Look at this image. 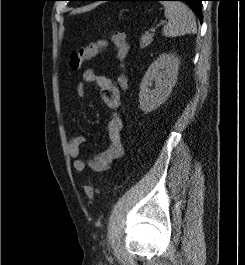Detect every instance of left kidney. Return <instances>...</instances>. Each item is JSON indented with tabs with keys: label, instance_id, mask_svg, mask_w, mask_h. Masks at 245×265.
Masks as SVG:
<instances>
[{
	"label": "left kidney",
	"instance_id": "1",
	"mask_svg": "<svg viewBox=\"0 0 245 265\" xmlns=\"http://www.w3.org/2000/svg\"><path fill=\"white\" fill-rule=\"evenodd\" d=\"M180 60L175 54L164 53L149 66L140 83V109L149 113L166 101L177 82ZM155 82L154 89H150Z\"/></svg>",
	"mask_w": 245,
	"mask_h": 265
}]
</instances>
